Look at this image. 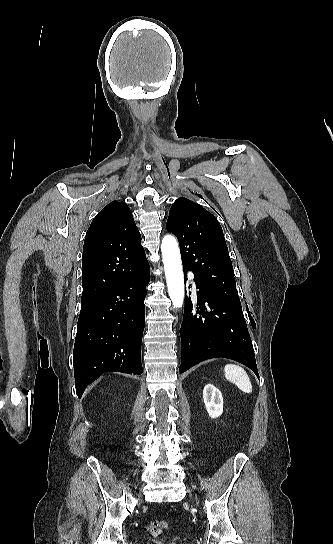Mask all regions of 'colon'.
Returning <instances> with one entry per match:
<instances>
[{
  "label": "colon",
  "mask_w": 333,
  "mask_h": 544,
  "mask_svg": "<svg viewBox=\"0 0 333 544\" xmlns=\"http://www.w3.org/2000/svg\"><path fill=\"white\" fill-rule=\"evenodd\" d=\"M170 528V524L167 521H152L149 523V525L146 527V530L154 535H160L162 532L167 531Z\"/></svg>",
  "instance_id": "1"
}]
</instances>
